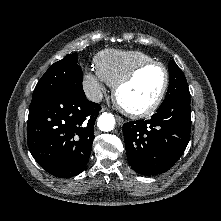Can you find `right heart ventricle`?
Returning a JSON list of instances; mask_svg holds the SVG:
<instances>
[{
    "instance_id": "obj_1",
    "label": "right heart ventricle",
    "mask_w": 221,
    "mask_h": 221,
    "mask_svg": "<svg viewBox=\"0 0 221 221\" xmlns=\"http://www.w3.org/2000/svg\"><path fill=\"white\" fill-rule=\"evenodd\" d=\"M148 54L137 50H104L95 57L97 74L110 86H115L135 66L151 61Z\"/></svg>"
}]
</instances>
